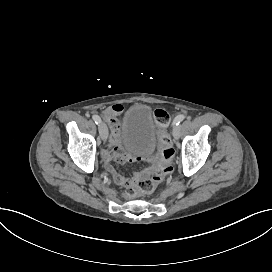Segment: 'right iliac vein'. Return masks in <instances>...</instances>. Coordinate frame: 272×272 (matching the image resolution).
Returning a JSON list of instances; mask_svg holds the SVG:
<instances>
[{
	"label": "right iliac vein",
	"instance_id": "obj_1",
	"mask_svg": "<svg viewBox=\"0 0 272 272\" xmlns=\"http://www.w3.org/2000/svg\"><path fill=\"white\" fill-rule=\"evenodd\" d=\"M99 134L103 142H106L108 138V128L104 122L99 124Z\"/></svg>",
	"mask_w": 272,
	"mask_h": 272
}]
</instances>
